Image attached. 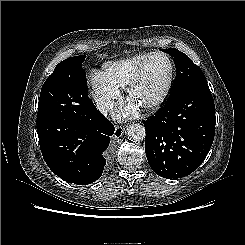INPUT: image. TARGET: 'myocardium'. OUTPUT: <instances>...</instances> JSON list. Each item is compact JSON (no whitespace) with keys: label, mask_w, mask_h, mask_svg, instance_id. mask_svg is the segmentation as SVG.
<instances>
[{"label":"myocardium","mask_w":245,"mask_h":245,"mask_svg":"<svg viewBox=\"0 0 245 245\" xmlns=\"http://www.w3.org/2000/svg\"><path fill=\"white\" fill-rule=\"evenodd\" d=\"M153 57H163L167 60L168 62V75H167V79L166 82L164 84V87L161 91V93L159 94V96L152 102L145 104L143 106H141L140 108L144 111H155L157 110L167 99L171 88H172V84H173V78H174V65L173 62L171 60V58L163 53V52H152L148 55V57L144 60V62L141 64V66L139 67L138 71L136 72V74L134 75V77L131 79V81L129 82V84L126 87V97L127 99L130 101L132 94L134 92V90L137 88V86L140 84V82L143 79L147 64L149 62V60Z\"/></svg>","instance_id":"obj_1"}]
</instances>
